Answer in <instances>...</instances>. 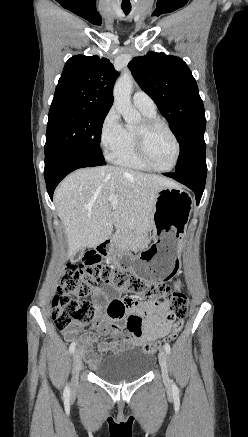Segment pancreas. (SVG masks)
I'll return each mask as SVG.
<instances>
[{"label":"pancreas","instance_id":"cf45deb5","mask_svg":"<svg viewBox=\"0 0 248 437\" xmlns=\"http://www.w3.org/2000/svg\"><path fill=\"white\" fill-rule=\"evenodd\" d=\"M128 239H129L128 235H126V234H121V237H120V242H121V244H126L127 241H128Z\"/></svg>","mask_w":248,"mask_h":437}]
</instances>
